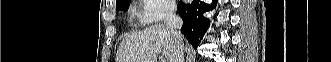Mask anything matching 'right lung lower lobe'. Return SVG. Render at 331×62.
<instances>
[{
    "label": "right lung lower lobe",
    "mask_w": 331,
    "mask_h": 62,
    "mask_svg": "<svg viewBox=\"0 0 331 62\" xmlns=\"http://www.w3.org/2000/svg\"><path fill=\"white\" fill-rule=\"evenodd\" d=\"M217 2L218 0H213L211 6L201 0H193L190 4H185L182 1L178 2L177 8L183 20L181 32L195 49L202 40L210 23L209 19L204 18L203 14L210 9H214Z\"/></svg>",
    "instance_id": "obj_1"
}]
</instances>
